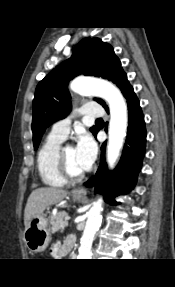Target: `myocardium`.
<instances>
[{"label":"myocardium","instance_id":"1","mask_svg":"<svg viewBox=\"0 0 175 287\" xmlns=\"http://www.w3.org/2000/svg\"><path fill=\"white\" fill-rule=\"evenodd\" d=\"M66 146H60V148L58 149L57 152V166H58V170L61 174V176L66 180V181H70V182H77L80 181L84 176H85V172H81V173H73L70 171L67 162H66V158H65V154H64V150H65Z\"/></svg>","mask_w":175,"mask_h":287}]
</instances>
